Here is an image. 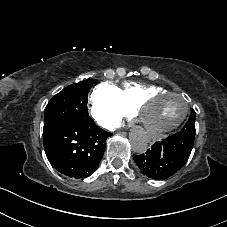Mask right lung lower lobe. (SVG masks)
I'll return each instance as SVG.
<instances>
[{"instance_id":"1","label":"right lung lower lobe","mask_w":227,"mask_h":227,"mask_svg":"<svg viewBox=\"0 0 227 227\" xmlns=\"http://www.w3.org/2000/svg\"><path fill=\"white\" fill-rule=\"evenodd\" d=\"M111 135L93 120L69 122L43 135L44 149L57 171L71 178H85L97 169Z\"/></svg>"}]
</instances>
